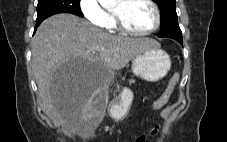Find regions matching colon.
<instances>
[{"instance_id":"5ec220e1","label":"colon","mask_w":227,"mask_h":142,"mask_svg":"<svg viewBox=\"0 0 227 142\" xmlns=\"http://www.w3.org/2000/svg\"><path fill=\"white\" fill-rule=\"evenodd\" d=\"M178 80H179V77L177 75L171 78L165 91L152 104V106H151L152 112H156V111L160 110L168 102V100L170 99V97L173 93V90H174L176 84L178 83ZM134 142H136V139L134 140Z\"/></svg>"}]
</instances>
